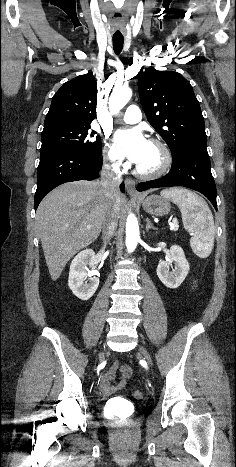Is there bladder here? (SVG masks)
I'll return each mask as SVG.
<instances>
[{"label": "bladder", "instance_id": "31cf9c89", "mask_svg": "<svg viewBox=\"0 0 236 467\" xmlns=\"http://www.w3.org/2000/svg\"><path fill=\"white\" fill-rule=\"evenodd\" d=\"M125 410H127L128 407H123ZM106 410H108V407H105Z\"/></svg>", "mask_w": 236, "mask_h": 467}]
</instances>
